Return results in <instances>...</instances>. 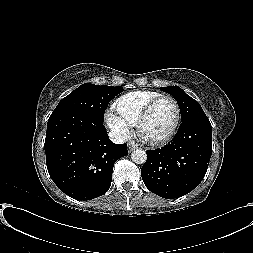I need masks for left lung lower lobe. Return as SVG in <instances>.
<instances>
[{"instance_id": "obj_1", "label": "left lung lower lobe", "mask_w": 253, "mask_h": 253, "mask_svg": "<svg viewBox=\"0 0 253 253\" xmlns=\"http://www.w3.org/2000/svg\"><path fill=\"white\" fill-rule=\"evenodd\" d=\"M211 129L207 116L187 119L166 146L146 151L147 161L141 168L145 186L166 199L183 196L196 188L211 158Z\"/></svg>"}]
</instances>
